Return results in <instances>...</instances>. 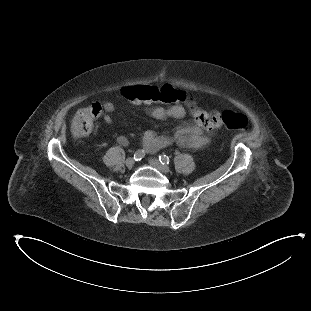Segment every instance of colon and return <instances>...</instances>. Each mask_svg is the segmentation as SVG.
Listing matches in <instances>:
<instances>
[{
    "mask_svg": "<svg viewBox=\"0 0 311 311\" xmlns=\"http://www.w3.org/2000/svg\"><path fill=\"white\" fill-rule=\"evenodd\" d=\"M121 94L123 98L133 100V103L142 101L145 103H189L190 110L195 115L197 121L206 127L214 128L211 115L206 114L194 102H191L187 94L174 88H156L151 83L144 84L140 88L134 85H127L123 87ZM101 113L102 104L100 103L87 105L79 109L71 124L73 136L82 138L89 135L93 129L94 119L99 117ZM218 115L220 119L219 126L222 127H226L227 124V128L242 130L248 124L247 117L244 114L231 108L222 110Z\"/></svg>",
    "mask_w": 311,
    "mask_h": 311,
    "instance_id": "colon-1",
    "label": "colon"
}]
</instances>
